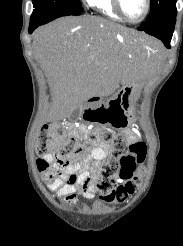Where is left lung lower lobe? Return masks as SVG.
<instances>
[{
  "label": "left lung lower lobe",
  "mask_w": 183,
  "mask_h": 246,
  "mask_svg": "<svg viewBox=\"0 0 183 246\" xmlns=\"http://www.w3.org/2000/svg\"><path fill=\"white\" fill-rule=\"evenodd\" d=\"M175 22H176V19H174L171 22H168L166 24H163L159 27H155L152 29H146V30H140V31H144L147 34L152 35V36L160 39L167 48H170L171 47L170 41H171V38L173 35Z\"/></svg>",
  "instance_id": "left-lung-lower-lobe-1"
}]
</instances>
